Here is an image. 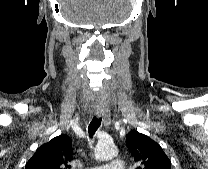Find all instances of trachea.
<instances>
[{"label": "trachea", "instance_id": "3493384b", "mask_svg": "<svg viewBox=\"0 0 208 169\" xmlns=\"http://www.w3.org/2000/svg\"><path fill=\"white\" fill-rule=\"evenodd\" d=\"M101 121H102V118H98L96 116L93 117L91 123L89 124V127H88V133H89V136L92 138V136L95 134V132L97 131V129L100 127L101 125Z\"/></svg>", "mask_w": 208, "mask_h": 169}]
</instances>
